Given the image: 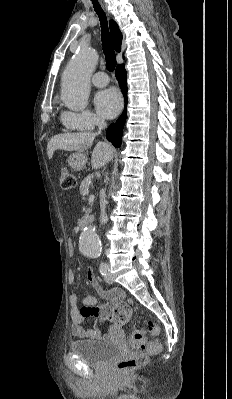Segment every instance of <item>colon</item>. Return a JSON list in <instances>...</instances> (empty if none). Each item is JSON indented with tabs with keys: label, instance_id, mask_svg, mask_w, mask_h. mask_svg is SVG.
Returning a JSON list of instances; mask_svg holds the SVG:
<instances>
[{
	"label": "colon",
	"instance_id": "1",
	"mask_svg": "<svg viewBox=\"0 0 232 399\" xmlns=\"http://www.w3.org/2000/svg\"><path fill=\"white\" fill-rule=\"evenodd\" d=\"M67 163H58L56 167V184H61L63 191H68L75 185L73 172L66 173ZM161 328L158 321H149L148 326H137L132 330L129 340H123L122 353H147L145 341H151L153 333H160ZM145 365V358L141 355H120L119 374H134V368Z\"/></svg>",
	"mask_w": 232,
	"mask_h": 399
}]
</instances>
